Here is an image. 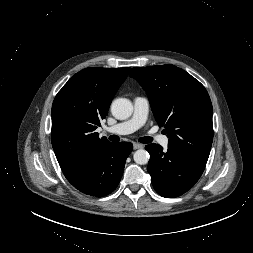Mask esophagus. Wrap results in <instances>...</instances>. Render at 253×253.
<instances>
[{
  "label": "esophagus",
  "instance_id": "1",
  "mask_svg": "<svg viewBox=\"0 0 253 253\" xmlns=\"http://www.w3.org/2000/svg\"><path fill=\"white\" fill-rule=\"evenodd\" d=\"M144 147V145L143 144H140V143H134L133 144V148L135 149V150H137V149H142Z\"/></svg>",
  "mask_w": 253,
  "mask_h": 253
}]
</instances>
